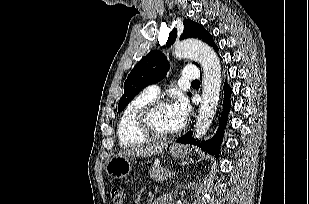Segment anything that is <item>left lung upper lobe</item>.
I'll list each match as a JSON object with an SVG mask.
<instances>
[{
  "instance_id": "left-lung-upper-lobe-1",
  "label": "left lung upper lobe",
  "mask_w": 309,
  "mask_h": 204,
  "mask_svg": "<svg viewBox=\"0 0 309 204\" xmlns=\"http://www.w3.org/2000/svg\"><path fill=\"white\" fill-rule=\"evenodd\" d=\"M184 30L180 39L198 38L214 48L215 51L218 47L213 41V37L208 33L205 28L191 19L184 20ZM177 37V29H173L169 34L167 46L175 42ZM197 66V63L194 62ZM169 70V63L163 53L158 50H153L143 57L138 64L131 70L124 83V94L120 98L118 104V111H122L131 99L144 87L155 84L162 80ZM191 96V93H188Z\"/></svg>"
}]
</instances>
